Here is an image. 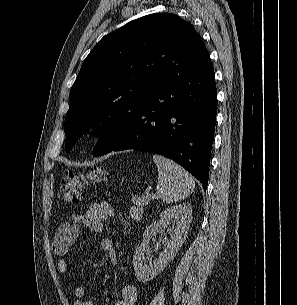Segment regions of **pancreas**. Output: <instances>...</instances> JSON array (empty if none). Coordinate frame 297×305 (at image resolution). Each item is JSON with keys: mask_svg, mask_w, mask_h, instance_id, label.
Wrapping results in <instances>:
<instances>
[{"mask_svg": "<svg viewBox=\"0 0 297 305\" xmlns=\"http://www.w3.org/2000/svg\"><path fill=\"white\" fill-rule=\"evenodd\" d=\"M132 203L133 205L130 208V216L133 220L138 221L142 217L145 200L143 197L134 196L132 198Z\"/></svg>", "mask_w": 297, "mask_h": 305, "instance_id": "cf45deb5", "label": "pancreas"}]
</instances>
